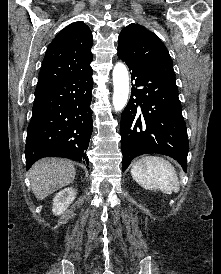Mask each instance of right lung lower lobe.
Wrapping results in <instances>:
<instances>
[{
  "mask_svg": "<svg viewBox=\"0 0 221 274\" xmlns=\"http://www.w3.org/2000/svg\"><path fill=\"white\" fill-rule=\"evenodd\" d=\"M92 69L35 91L25 145L26 169L43 157L89 163L92 133Z\"/></svg>",
  "mask_w": 221,
  "mask_h": 274,
  "instance_id": "1",
  "label": "right lung lower lobe"
}]
</instances>
